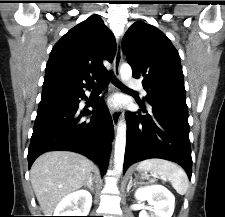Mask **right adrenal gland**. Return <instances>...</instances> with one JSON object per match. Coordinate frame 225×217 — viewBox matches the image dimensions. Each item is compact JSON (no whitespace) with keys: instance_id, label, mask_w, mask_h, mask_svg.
<instances>
[{"instance_id":"obj_1","label":"right adrenal gland","mask_w":225,"mask_h":217,"mask_svg":"<svg viewBox=\"0 0 225 217\" xmlns=\"http://www.w3.org/2000/svg\"><path fill=\"white\" fill-rule=\"evenodd\" d=\"M84 187H88L92 192L94 191L92 175L90 176L89 181L84 185Z\"/></svg>"}]
</instances>
